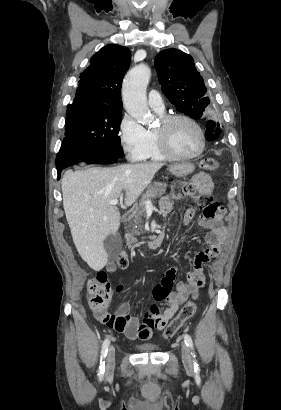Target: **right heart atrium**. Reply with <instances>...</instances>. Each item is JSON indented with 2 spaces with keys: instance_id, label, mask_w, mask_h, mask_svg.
Here are the masks:
<instances>
[{
  "instance_id": "obj_1",
  "label": "right heart atrium",
  "mask_w": 281,
  "mask_h": 410,
  "mask_svg": "<svg viewBox=\"0 0 281 410\" xmlns=\"http://www.w3.org/2000/svg\"><path fill=\"white\" fill-rule=\"evenodd\" d=\"M118 135L127 158L138 161L147 143V130L132 116L125 114L120 121Z\"/></svg>"
}]
</instances>
